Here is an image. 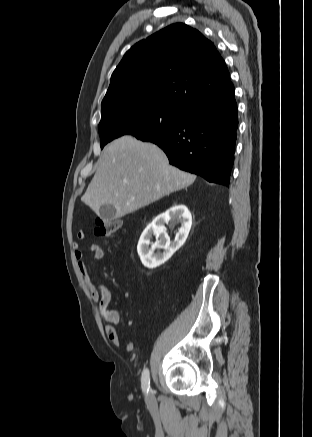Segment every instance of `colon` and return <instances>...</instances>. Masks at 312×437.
<instances>
[{
    "instance_id": "5ec220e1",
    "label": "colon",
    "mask_w": 312,
    "mask_h": 437,
    "mask_svg": "<svg viewBox=\"0 0 312 437\" xmlns=\"http://www.w3.org/2000/svg\"><path fill=\"white\" fill-rule=\"evenodd\" d=\"M121 227L120 221L107 220L104 218L95 219V234L99 237H109L119 231Z\"/></svg>"
}]
</instances>
